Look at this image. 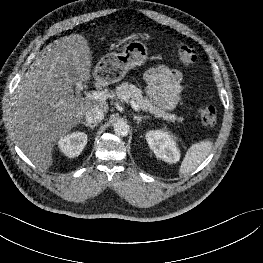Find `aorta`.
I'll list each match as a JSON object with an SVG mask.
<instances>
[{
    "label": "aorta",
    "instance_id": "1",
    "mask_svg": "<svg viewBox=\"0 0 263 263\" xmlns=\"http://www.w3.org/2000/svg\"><path fill=\"white\" fill-rule=\"evenodd\" d=\"M114 133L117 136H127L129 133V125L124 121H116L113 125Z\"/></svg>",
    "mask_w": 263,
    "mask_h": 263
}]
</instances>
